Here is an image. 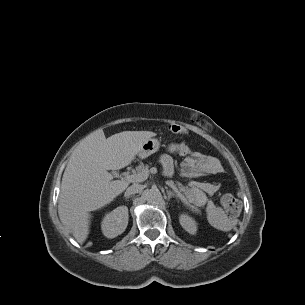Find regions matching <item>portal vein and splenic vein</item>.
I'll return each instance as SVG.
<instances>
[{
    "mask_svg": "<svg viewBox=\"0 0 305 305\" xmlns=\"http://www.w3.org/2000/svg\"><path fill=\"white\" fill-rule=\"evenodd\" d=\"M156 172L157 169L155 167H152L150 170H144L138 174H132V175L127 174L125 178L129 182H143L148 178L149 173L155 174Z\"/></svg>",
    "mask_w": 305,
    "mask_h": 305,
    "instance_id": "1",
    "label": "portal vein and splenic vein"
}]
</instances>
